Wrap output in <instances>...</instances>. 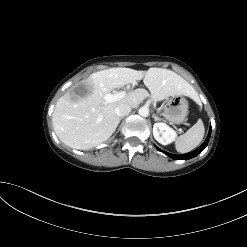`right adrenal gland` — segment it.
<instances>
[{
  "mask_svg": "<svg viewBox=\"0 0 247 247\" xmlns=\"http://www.w3.org/2000/svg\"><path fill=\"white\" fill-rule=\"evenodd\" d=\"M122 120V117L119 119V121H121Z\"/></svg>",
  "mask_w": 247,
  "mask_h": 247,
  "instance_id": "2a0ac1e0",
  "label": "right adrenal gland"
}]
</instances>
